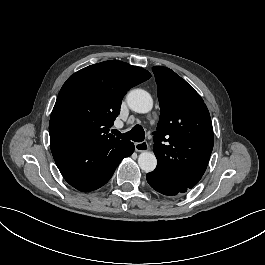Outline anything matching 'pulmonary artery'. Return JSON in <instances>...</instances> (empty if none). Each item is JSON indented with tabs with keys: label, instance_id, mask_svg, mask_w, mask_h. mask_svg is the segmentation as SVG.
<instances>
[{
	"label": "pulmonary artery",
	"instance_id": "obj_1",
	"mask_svg": "<svg viewBox=\"0 0 265 265\" xmlns=\"http://www.w3.org/2000/svg\"><path fill=\"white\" fill-rule=\"evenodd\" d=\"M117 127H118V128H120V127H121V125H117Z\"/></svg>",
	"mask_w": 265,
	"mask_h": 265
}]
</instances>
